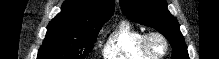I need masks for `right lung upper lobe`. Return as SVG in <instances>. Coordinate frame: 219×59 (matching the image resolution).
Instances as JSON below:
<instances>
[{
    "label": "right lung upper lobe",
    "mask_w": 219,
    "mask_h": 59,
    "mask_svg": "<svg viewBox=\"0 0 219 59\" xmlns=\"http://www.w3.org/2000/svg\"><path fill=\"white\" fill-rule=\"evenodd\" d=\"M62 11L51 22L103 26L112 16L114 0H66Z\"/></svg>",
    "instance_id": "1"
}]
</instances>
